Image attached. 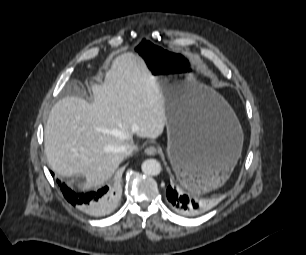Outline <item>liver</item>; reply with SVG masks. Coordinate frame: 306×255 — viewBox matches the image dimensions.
Instances as JSON below:
<instances>
[{
  "label": "liver",
  "mask_w": 306,
  "mask_h": 255,
  "mask_svg": "<svg viewBox=\"0 0 306 255\" xmlns=\"http://www.w3.org/2000/svg\"><path fill=\"white\" fill-rule=\"evenodd\" d=\"M92 102L67 96L51 109L44 131L50 168L64 177L83 176L82 190L103 185L124 159L121 146L133 135L156 139L164 131V98L143 59L124 53L112 61Z\"/></svg>",
  "instance_id": "6515ba94"
}]
</instances>
